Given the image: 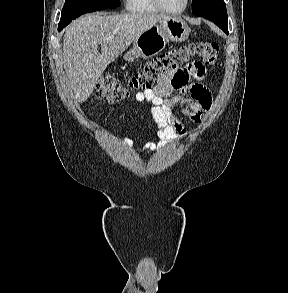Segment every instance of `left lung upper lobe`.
<instances>
[{"label":"left lung upper lobe","mask_w":288,"mask_h":293,"mask_svg":"<svg viewBox=\"0 0 288 293\" xmlns=\"http://www.w3.org/2000/svg\"><path fill=\"white\" fill-rule=\"evenodd\" d=\"M192 12L214 22L225 33L228 31V16L223 0H192Z\"/></svg>","instance_id":"5c2ea615"}]
</instances>
